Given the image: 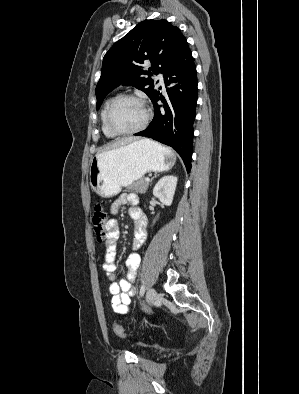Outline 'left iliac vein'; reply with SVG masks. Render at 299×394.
Here are the masks:
<instances>
[{
    "instance_id": "1",
    "label": "left iliac vein",
    "mask_w": 299,
    "mask_h": 394,
    "mask_svg": "<svg viewBox=\"0 0 299 394\" xmlns=\"http://www.w3.org/2000/svg\"><path fill=\"white\" fill-rule=\"evenodd\" d=\"M158 294L155 289L150 288L146 295V301L148 305L153 304L157 300Z\"/></svg>"
}]
</instances>
